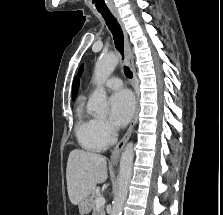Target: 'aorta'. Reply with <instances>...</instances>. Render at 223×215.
<instances>
[{"label":"aorta","instance_id":"762f6f07","mask_svg":"<svg viewBox=\"0 0 223 215\" xmlns=\"http://www.w3.org/2000/svg\"><path fill=\"white\" fill-rule=\"evenodd\" d=\"M118 62V56L114 52H109V54L100 56L95 64L94 82L96 90L88 102V109L89 111H93L98 117H105L108 113L106 92L103 84H105V80L114 72L116 66H118ZM133 153V143L129 141L121 153L118 193L114 199L110 215H121L122 213L123 203L127 197L132 177Z\"/></svg>","mask_w":223,"mask_h":215}]
</instances>
